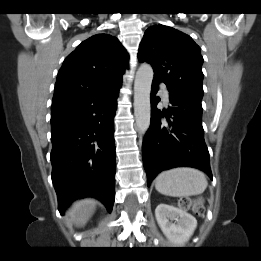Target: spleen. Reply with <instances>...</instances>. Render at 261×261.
Here are the masks:
<instances>
[{
    "instance_id": "1",
    "label": "spleen",
    "mask_w": 261,
    "mask_h": 261,
    "mask_svg": "<svg viewBox=\"0 0 261 261\" xmlns=\"http://www.w3.org/2000/svg\"><path fill=\"white\" fill-rule=\"evenodd\" d=\"M205 174L197 169L182 167L161 172L155 188L161 194L172 197H188L201 194L207 188Z\"/></svg>"
}]
</instances>
